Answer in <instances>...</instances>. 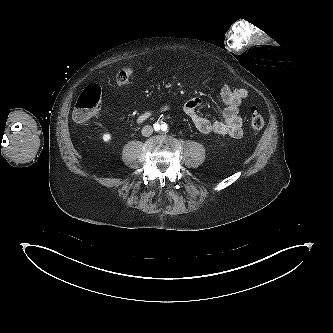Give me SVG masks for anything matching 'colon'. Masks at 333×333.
I'll return each mask as SVG.
<instances>
[{"label":"colon","mask_w":333,"mask_h":333,"mask_svg":"<svg viewBox=\"0 0 333 333\" xmlns=\"http://www.w3.org/2000/svg\"><path fill=\"white\" fill-rule=\"evenodd\" d=\"M130 68L121 69L116 75V82L124 85L131 76ZM101 107V88L97 84H89L79 95L74 110L73 119L77 123H86L91 120ZM250 129L254 134L258 133L264 126V118L260 111L252 106L249 109Z\"/></svg>","instance_id":"1"}]
</instances>
